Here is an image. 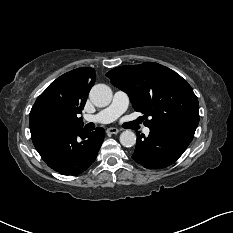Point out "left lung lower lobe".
I'll return each instance as SVG.
<instances>
[{"mask_svg": "<svg viewBox=\"0 0 233 233\" xmlns=\"http://www.w3.org/2000/svg\"><path fill=\"white\" fill-rule=\"evenodd\" d=\"M194 133L181 129H150L148 137L137 134L132 158L148 169L173 164L186 150Z\"/></svg>", "mask_w": 233, "mask_h": 233, "instance_id": "left-lung-lower-lobe-1", "label": "left lung lower lobe"}]
</instances>
